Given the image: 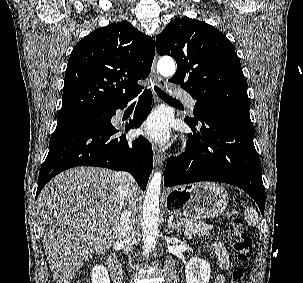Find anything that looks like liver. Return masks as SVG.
<instances>
[{"label":"liver","mask_w":303,"mask_h":283,"mask_svg":"<svg viewBox=\"0 0 303 283\" xmlns=\"http://www.w3.org/2000/svg\"><path fill=\"white\" fill-rule=\"evenodd\" d=\"M122 173L76 167L53 178L38 197L42 241L56 283H70L91 256L115 242L122 213ZM136 199L140 190L135 186Z\"/></svg>","instance_id":"6515ba94"}]
</instances>
